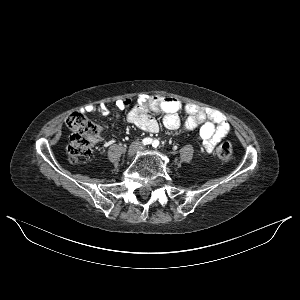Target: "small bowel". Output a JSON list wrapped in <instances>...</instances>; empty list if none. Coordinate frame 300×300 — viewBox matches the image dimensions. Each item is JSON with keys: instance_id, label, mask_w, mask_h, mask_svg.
Listing matches in <instances>:
<instances>
[{"instance_id": "c3829d8e", "label": "small bowel", "mask_w": 300, "mask_h": 300, "mask_svg": "<svg viewBox=\"0 0 300 300\" xmlns=\"http://www.w3.org/2000/svg\"><path fill=\"white\" fill-rule=\"evenodd\" d=\"M115 105L118 109L126 107L124 100L116 101ZM85 110L101 116H107L110 113L107 104L89 105ZM157 112L163 113V125L168 130L189 132L199 128L202 146L207 152H212L231 129L228 121L217 110L193 103H184L172 96L146 97L127 111L126 119L145 132L156 133L159 130V124L152 113ZM180 112L186 113L184 119H181Z\"/></svg>"}]
</instances>
